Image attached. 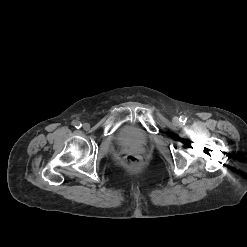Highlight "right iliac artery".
I'll return each instance as SVG.
<instances>
[{
    "instance_id": "obj_1",
    "label": "right iliac artery",
    "mask_w": 247,
    "mask_h": 247,
    "mask_svg": "<svg viewBox=\"0 0 247 247\" xmlns=\"http://www.w3.org/2000/svg\"><path fill=\"white\" fill-rule=\"evenodd\" d=\"M73 125H74L77 129H79V128L82 126L81 122H79V121L74 122Z\"/></svg>"
}]
</instances>
